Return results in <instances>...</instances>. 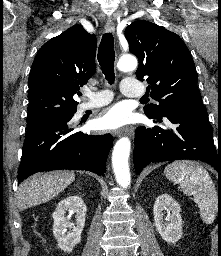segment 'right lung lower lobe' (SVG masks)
<instances>
[{"label":"right lung lower lobe","mask_w":221,"mask_h":256,"mask_svg":"<svg viewBox=\"0 0 221 256\" xmlns=\"http://www.w3.org/2000/svg\"><path fill=\"white\" fill-rule=\"evenodd\" d=\"M72 117L51 120L27 130L18 170L19 182L36 172L58 169L88 170L105 175L113 137L75 132L68 125Z\"/></svg>","instance_id":"1"}]
</instances>
